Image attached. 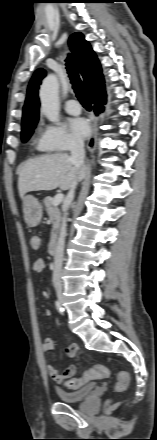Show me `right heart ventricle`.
Returning <instances> with one entry per match:
<instances>
[{
  "mask_svg": "<svg viewBox=\"0 0 157 440\" xmlns=\"http://www.w3.org/2000/svg\"><path fill=\"white\" fill-rule=\"evenodd\" d=\"M35 145L37 147V149L41 152H48L50 151L43 143V139L42 136H37L35 138Z\"/></svg>",
  "mask_w": 157,
  "mask_h": 440,
  "instance_id": "right-heart-ventricle-1",
  "label": "right heart ventricle"
}]
</instances>
